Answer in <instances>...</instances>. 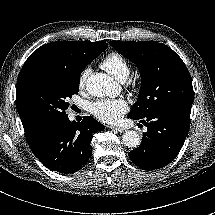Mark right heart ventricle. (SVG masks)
Masks as SVG:
<instances>
[{
  "mask_svg": "<svg viewBox=\"0 0 215 215\" xmlns=\"http://www.w3.org/2000/svg\"><path fill=\"white\" fill-rule=\"evenodd\" d=\"M101 66L114 78L123 81L130 73L128 61L119 53L111 52L104 57Z\"/></svg>",
  "mask_w": 215,
  "mask_h": 215,
  "instance_id": "e07e8e85",
  "label": "right heart ventricle"
}]
</instances>
